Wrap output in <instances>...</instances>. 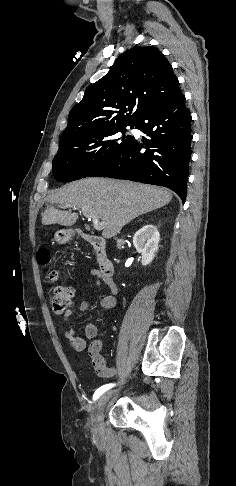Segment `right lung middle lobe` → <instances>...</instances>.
<instances>
[{
  "instance_id": "obj_1",
  "label": "right lung middle lobe",
  "mask_w": 236,
  "mask_h": 486,
  "mask_svg": "<svg viewBox=\"0 0 236 486\" xmlns=\"http://www.w3.org/2000/svg\"><path fill=\"white\" fill-rule=\"evenodd\" d=\"M127 126L134 128V124L116 125L60 143L53 159L54 177L62 182L87 177L134 140L124 135Z\"/></svg>"
}]
</instances>
